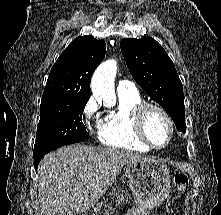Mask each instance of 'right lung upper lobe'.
<instances>
[{"label": "right lung upper lobe", "mask_w": 221, "mask_h": 215, "mask_svg": "<svg viewBox=\"0 0 221 215\" xmlns=\"http://www.w3.org/2000/svg\"><path fill=\"white\" fill-rule=\"evenodd\" d=\"M105 51L103 40L89 35L74 39L52 67L41 103L63 99L89 100L91 77Z\"/></svg>", "instance_id": "1"}]
</instances>
